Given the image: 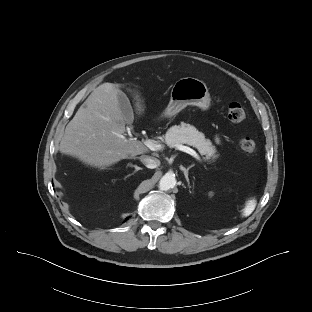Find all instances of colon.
Returning <instances> with one entry per match:
<instances>
[{"mask_svg":"<svg viewBox=\"0 0 312 312\" xmlns=\"http://www.w3.org/2000/svg\"><path fill=\"white\" fill-rule=\"evenodd\" d=\"M227 115L232 123H241L246 117L243 106L238 102H232L228 105ZM240 148L243 152L251 154L256 149V143L253 138L245 136L240 140Z\"/></svg>","mask_w":312,"mask_h":312,"instance_id":"1","label":"colon"}]
</instances>
